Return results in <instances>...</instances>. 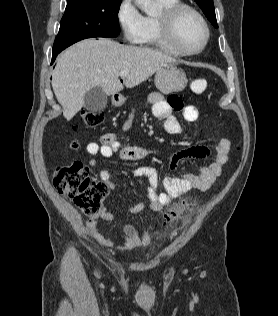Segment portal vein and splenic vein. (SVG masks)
<instances>
[{
	"label": "portal vein and splenic vein",
	"instance_id": "1",
	"mask_svg": "<svg viewBox=\"0 0 278 316\" xmlns=\"http://www.w3.org/2000/svg\"><path fill=\"white\" fill-rule=\"evenodd\" d=\"M128 75V72L127 71H121L120 73H119V76L121 77V78H124V77H126Z\"/></svg>",
	"mask_w": 278,
	"mask_h": 316
}]
</instances>
